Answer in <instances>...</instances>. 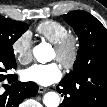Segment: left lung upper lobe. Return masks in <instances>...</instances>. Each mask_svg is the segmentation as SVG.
Listing matches in <instances>:
<instances>
[{
  "label": "left lung upper lobe",
  "mask_w": 107,
  "mask_h": 107,
  "mask_svg": "<svg viewBox=\"0 0 107 107\" xmlns=\"http://www.w3.org/2000/svg\"><path fill=\"white\" fill-rule=\"evenodd\" d=\"M79 38V50L73 71L62 82L74 89L68 97L69 107H83L84 92L80 83L104 76L107 78V31L91 14L76 10L63 15Z\"/></svg>",
  "instance_id": "obj_1"
}]
</instances>
